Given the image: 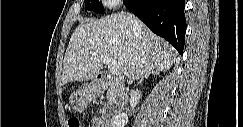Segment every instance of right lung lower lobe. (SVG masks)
Segmentation results:
<instances>
[{
  "instance_id": "obj_1",
  "label": "right lung lower lobe",
  "mask_w": 243,
  "mask_h": 127,
  "mask_svg": "<svg viewBox=\"0 0 243 127\" xmlns=\"http://www.w3.org/2000/svg\"><path fill=\"white\" fill-rule=\"evenodd\" d=\"M127 8L182 54L186 31L185 0H124Z\"/></svg>"
}]
</instances>
